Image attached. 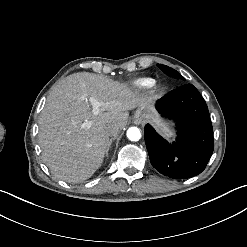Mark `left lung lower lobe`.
Here are the masks:
<instances>
[{"instance_id": "0a47b994", "label": "left lung lower lobe", "mask_w": 247, "mask_h": 247, "mask_svg": "<svg viewBox=\"0 0 247 247\" xmlns=\"http://www.w3.org/2000/svg\"><path fill=\"white\" fill-rule=\"evenodd\" d=\"M157 111L174 119L178 130L176 142L169 144L149 124L144 138L152 166L174 179L200 174L213 149V128L205 100L191 84L182 85L156 102Z\"/></svg>"}]
</instances>
